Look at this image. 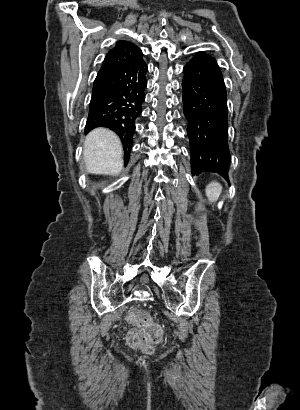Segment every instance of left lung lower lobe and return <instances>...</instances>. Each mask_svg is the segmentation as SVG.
I'll list each match as a JSON object with an SVG mask.
<instances>
[{
	"instance_id": "obj_1",
	"label": "left lung lower lobe",
	"mask_w": 300,
	"mask_h": 410,
	"mask_svg": "<svg viewBox=\"0 0 300 410\" xmlns=\"http://www.w3.org/2000/svg\"><path fill=\"white\" fill-rule=\"evenodd\" d=\"M183 72L182 99L188 120L192 174L214 172L228 180V108L220 68L211 56L197 53Z\"/></svg>"
}]
</instances>
